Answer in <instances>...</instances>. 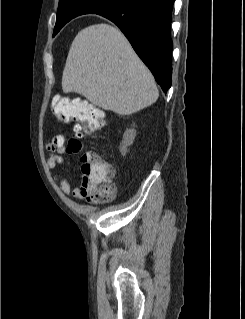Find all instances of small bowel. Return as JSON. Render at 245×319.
Instances as JSON below:
<instances>
[{"mask_svg": "<svg viewBox=\"0 0 245 319\" xmlns=\"http://www.w3.org/2000/svg\"><path fill=\"white\" fill-rule=\"evenodd\" d=\"M66 137L63 134H58L52 140L46 142V149L50 152L47 160V166L50 170L55 169L57 166L64 164V153L66 152ZM60 186L66 195H72L76 199H82L83 196L79 187L72 186L67 177L60 180Z\"/></svg>", "mask_w": 245, "mask_h": 319, "instance_id": "1", "label": "small bowel"}]
</instances>
